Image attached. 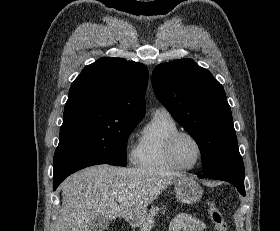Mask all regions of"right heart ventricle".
<instances>
[{
	"label": "right heart ventricle",
	"mask_w": 280,
	"mask_h": 231,
	"mask_svg": "<svg viewBox=\"0 0 280 231\" xmlns=\"http://www.w3.org/2000/svg\"><path fill=\"white\" fill-rule=\"evenodd\" d=\"M179 129L177 121L167 111H155L140 131L135 164L143 168L175 170L166 158L165 145L168 137Z\"/></svg>",
	"instance_id": "right-heart-ventricle-1"
}]
</instances>
